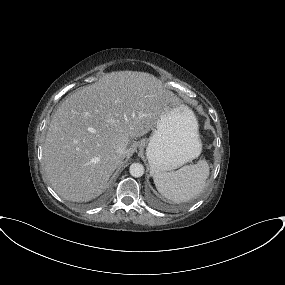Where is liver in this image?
Wrapping results in <instances>:
<instances>
[{
	"label": "liver",
	"instance_id": "1",
	"mask_svg": "<svg viewBox=\"0 0 285 285\" xmlns=\"http://www.w3.org/2000/svg\"><path fill=\"white\" fill-rule=\"evenodd\" d=\"M154 76L135 71L105 74L80 88L56 110L43 148L47 178L69 201L86 202L102 192L126 156L132 140L153 130L169 108ZM123 147L125 156L117 149Z\"/></svg>",
	"mask_w": 285,
	"mask_h": 285
}]
</instances>
